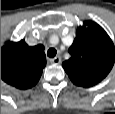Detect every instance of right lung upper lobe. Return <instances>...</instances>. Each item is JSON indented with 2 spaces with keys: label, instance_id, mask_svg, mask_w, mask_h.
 Returning <instances> with one entry per match:
<instances>
[{
  "label": "right lung upper lobe",
  "instance_id": "right-lung-upper-lobe-1",
  "mask_svg": "<svg viewBox=\"0 0 115 114\" xmlns=\"http://www.w3.org/2000/svg\"><path fill=\"white\" fill-rule=\"evenodd\" d=\"M46 66L44 46L30 47L24 40L1 47V79L18 89L37 84Z\"/></svg>",
  "mask_w": 115,
  "mask_h": 114
}]
</instances>
